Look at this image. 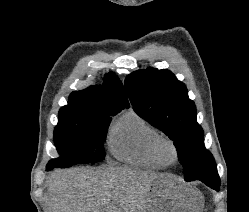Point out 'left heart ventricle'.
<instances>
[{
	"label": "left heart ventricle",
	"instance_id": "left-heart-ventricle-1",
	"mask_svg": "<svg viewBox=\"0 0 249 212\" xmlns=\"http://www.w3.org/2000/svg\"><path fill=\"white\" fill-rule=\"evenodd\" d=\"M163 153H164V156H165L168 160H170V161H173V160H174L173 152H172V150H171L168 146L164 147Z\"/></svg>",
	"mask_w": 249,
	"mask_h": 212
}]
</instances>
